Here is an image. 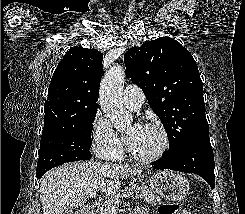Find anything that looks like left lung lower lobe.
<instances>
[{
    "instance_id": "obj_1",
    "label": "left lung lower lobe",
    "mask_w": 245,
    "mask_h": 214,
    "mask_svg": "<svg viewBox=\"0 0 245 214\" xmlns=\"http://www.w3.org/2000/svg\"><path fill=\"white\" fill-rule=\"evenodd\" d=\"M155 169H171L201 176L214 189V155L209 137H198L152 163Z\"/></svg>"
}]
</instances>
